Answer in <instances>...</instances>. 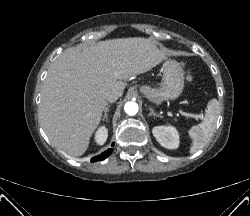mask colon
<instances>
[{
	"label": "colon",
	"mask_w": 250,
	"mask_h": 216,
	"mask_svg": "<svg viewBox=\"0 0 250 216\" xmlns=\"http://www.w3.org/2000/svg\"><path fill=\"white\" fill-rule=\"evenodd\" d=\"M192 74L191 73H187V75H186V80L187 81H191L192 80Z\"/></svg>",
	"instance_id": "obj_1"
}]
</instances>
